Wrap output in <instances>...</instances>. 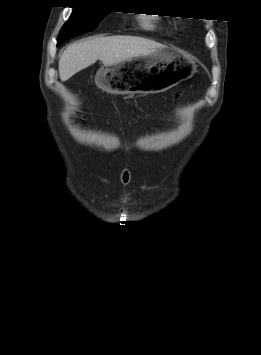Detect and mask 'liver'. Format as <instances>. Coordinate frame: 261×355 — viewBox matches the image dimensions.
<instances>
[{"label": "liver", "mask_w": 261, "mask_h": 355, "mask_svg": "<svg viewBox=\"0 0 261 355\" xmlns=\"http://www.w3.org/2000/svg\"><path fill=\"white\" fill-rule=\"evenodd\" d=\"M163 47L136 36L95 37L71 44L59 59V76L67 81L97 60L112 65Z\"/></svg>", "instance_id": "1"}]
</instances>
